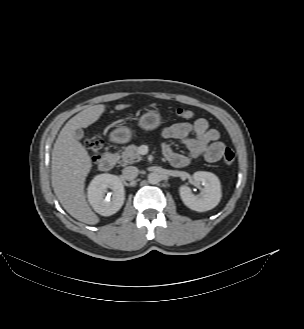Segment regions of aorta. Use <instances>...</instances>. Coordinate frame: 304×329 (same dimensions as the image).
<instances>
[{"label":"aorta","instance_id":"aorta-1","mask_svg":"<svg viewBox=\"0 0 304 329\" xmlns=\"http://www.w3.org/2000/svg\"><path fill=\"white\" fill-rule=\"evenodd\" d=\"M148 182L150 184H157L160 182V175L157 173H150L148 174Z\"/></svg>","mask_w":304,"mask_h":329}]
</instances>
